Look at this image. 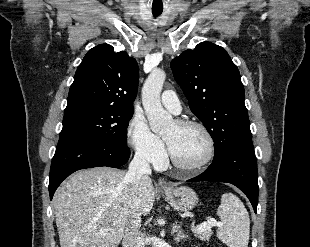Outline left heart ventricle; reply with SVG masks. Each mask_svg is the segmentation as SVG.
<instances>
[{
    "label": "left heart ventricle",
    "mask_w": 310,
    "mask_h": 247,
    "mask_svg": "<svg viewBox=\"0 0 310 247\" xmlns=\"http://www.w3.org/2000/svg\"><path fill=\"white\" fill-rule=\"evenodd\" d=\"M163 137L173 156L183 164H197L207 154V140L197 128H181L175 123L168 128Z\"/></svg>",
    "instance_id": "b2bd125f"
}]
</instances>
